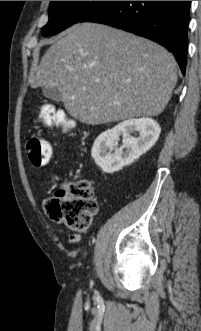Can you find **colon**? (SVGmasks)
Instances as JSON below:
<instances>
[{"instance_id":"5ec220e1","label":"colon","mask_w":201,"mask_h":331,"mask_svg":"<svg viewBox=\"0 0 201 331\" xmlns=\"http://www.w3.org/2000/svg\"><path fill=\"white\" fill-rule=\"evenodd\" d=\"M40 117L44 124L61 127L64 131L73 127V122L52 105H44ZM25 151L35 166L48 164L52 157L51 144L36 136L27 140ZM45 207L54 221L63 223L73 231H84L90 226L92 218L97 212L92 184L83 180L64 185L46 200Z\"/></svg>"}]
</instances>
